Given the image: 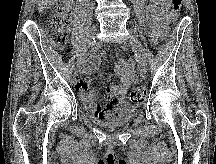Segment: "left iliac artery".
<instances>
[{
	"mask_svg": "<svg viewBox=\"0 0 216 164\" xmlns=\"http://www.w3.org/2000/svg\"><path fill=\"white\" fill-rule=\"evenodd\" d=\"M132 51L135 53V57H136V60H137L136 64L140 65L141 64V61L139 60L140 54L136 52L137 50L135 48Z\"/></svg>",
	"mask_w": 216,
	"mask_h": 164,
	"instance_id": "obj_1",
	"label": "left iliac artery"
}]
</instances>
